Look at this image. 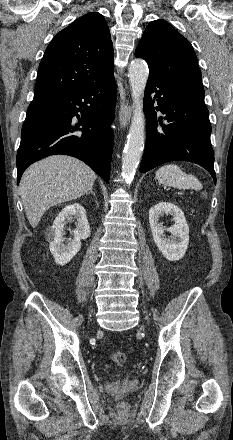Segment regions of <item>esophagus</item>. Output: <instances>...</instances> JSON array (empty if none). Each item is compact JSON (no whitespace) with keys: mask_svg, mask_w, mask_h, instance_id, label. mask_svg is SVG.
Listing matches in <instances>:
<instances>
[{"mask_svg":"<svg viewBox=\"0 0 233 440\" xmlns=\"http://www.w3.org/2000/svg\"><path fill=\"white\" fill-rule=\"evenodd\" d=\"M131 114H132V107L128 102H126V104L121 106L119 112V120L124 127L128 126L130 122Z\"/></svg>","mask_w":233,"mask_h":440,"instance_id":"obj_1","label":"esophagus"}]
</instances>
